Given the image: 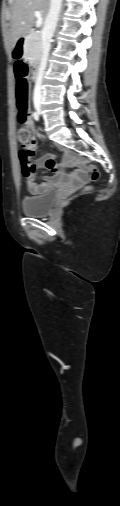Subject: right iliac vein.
<instances>
[{"label":"right iliac vein","mask_w":120,"mask_h":506,"mask_svg":"<svg viewBox=\"0 0 120 506\" xmlns=\"http://www.w3.org/2000/svg\"><path fill=\"white\" fill-rule=\"evenodd\" d=\"M35 106H36L37 110L39 111L40 110V105L36 104Z\"/></svg>","instance_id":"1"}]
</instances>
